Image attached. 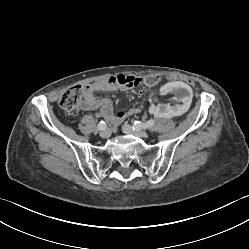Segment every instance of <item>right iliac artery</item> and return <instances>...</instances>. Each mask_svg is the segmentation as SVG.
Here are the masks:
<instances>
[{"instance_id":"1","label":"right iliac artery","mask_w":249,"mask_h":249,"mask_svg":"<svg viewBox=\"0 0 249 249\" xmlns=\"http://www.w3.org/2000/svg\"><path fill=\"white\" fill-rule=\"evenodd\" d=\"M106 128V123L104 122V121H100L99 123H98V129L99 130H103V129H105Z\"/></svg>"}]
</instances>
